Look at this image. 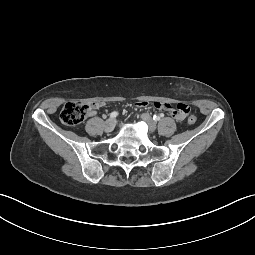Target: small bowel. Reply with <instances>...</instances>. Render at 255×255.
<instances>
[{
	"label": "small bowel",
	"instance_id": "c3829d8e",
	"mask_svg": "<svg viewBox=\"0 0 255 255\" xmlns=\"http://www.w3.org/2000/svg\"><path fill=\"white\" fill-rule=\"evenodd\" d=\"M146 104H147V102L138 103V105H140V106H144ZM153 105L156 108L163 109V110L167 111L168 113H170L177 120H183L187 116H189L190 113H191V108L187 104H177V105H175V104H171V103L155 102ZM101 106H102V103H99V102L93 103L91 111H90L89 114L91 116L95 115L96 114V109H98Z\"/></svg>",
	"mask_w": 255,
	"mask_h": 255
}]
</instances>
